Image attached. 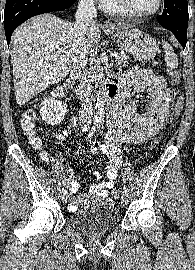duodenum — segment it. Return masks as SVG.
Masks as SVG:
<instances>
[{"mask_svg": "<svg viewBox=\"0 0 195 270\" xmlns=\"http://www.w3.org/2000/svg\"><path fill=\"white\" fill-rule=\"evenodd\" d=\"M70 83L73 91L84 100L88 95L89 91L85 82L81 78V72L78 68L72 71L70 76ZM104 98L109 106H113L118 99L117 86L109 78L104 87Z\"/></svg>", "mask_w": 195, "mask_h": 270, "instance_id": "410a0bca", "label": "duodenum"}]
</instances>
